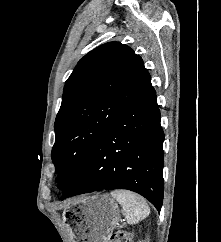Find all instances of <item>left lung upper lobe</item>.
I'll use <instances>...</instances> for the list:
<instances>
[{"label":"left lung upper lobe","mask_w":221,"mask_h":242,"mask_svg":"<svg viewBox=\"0 0 221 242\" xmlns=\"http://www.w3.org/2000/svg\"><path fill=\"white\" fill-rule=\"evenodd\" d=\"M150 87L141 57L120 42L103 44L80 59L55 120L51 157L61 189L79 180L102 134Z\"/></svg>","instance_id":"obj_1"}]
</instances>
